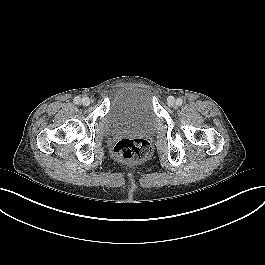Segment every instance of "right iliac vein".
Instances as JSON below:
<instances>
[{
	"label": "right iliac vein",
	"instance_id": "63e3f726",
	"mask_svg": "<svg viewBox=\"0 0 265 265\" xmlns=\"http://www.w3.org/2000/svg\"><path fill=\"white\" fill-rule=\"evenodd\" d=\"M82 104H83L84 106H89V105L91 104V100H90V98H88V97H84V98L82 99Z\"/></svg>",
	"mask_w": 265,
	"mask_h": 265
}]
</instances>
